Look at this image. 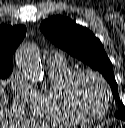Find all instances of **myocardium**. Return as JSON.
Wrapping results in <instances>:
<instances>
[{
    "instance_id": "1",
    "label": "myocardium",
    "mask_w": 125,
    "mask_h": 128,
    "mask_svg": "<svg viewBox=\"0 0 125 128\" xmlns=\"http://www.w3.org/2000/svg\"><path fill=\"white\" fill-rule=\"evenodd\" d=\"M84 76H89L95 79L100 85L105 97L106 103L104 109L98 114H91L85 111L78 103L75 96V86L80 78ZM64 97L70 107V109L77 114L79 117L85 121H94L103 118L109 111L112 103V94L110 92L109 86L105 79L96 71L90 69H78L73 71V73L66 80L63 87Z\"/></svg>"
}]
</instances>
